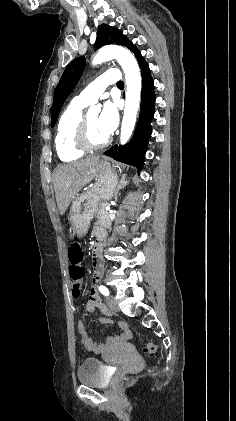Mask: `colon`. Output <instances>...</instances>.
Here are the masks:
<instances>
[{"label": "colon", "mask_w": 236, "mask_h": 421, "mask_svg": "<svg viewBox=\"0 0 236 421\" xmlns=\"http://www.w3.org/2000/svg\"><path fill=\"white\" fill-rule=\"evenodd\" d=\"M84 253L77 242H73L68 247V259L70 262L69 266V274L72 286V293L74 297H78L80 295L83 278L85 276V269L82 267L81 263L83 261ZM156 344L154 342H148L143 351L147 355H153L156 352ZM132 382L131 375H124L122 378V383L124 385H129Z\"/></svg>", "instance_id": "5ec220e1"}]
</instances>
